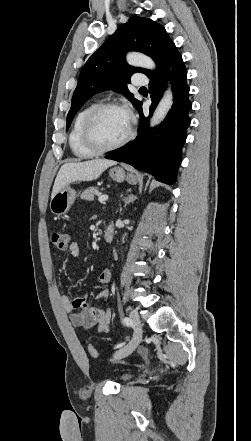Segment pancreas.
Instances as JSON below:
<instances>
[{
    "instance_id": "1",
    "label": "pancreas",
    "mask_w": 251,
    "mask_h": 441,
    "mask_svg": "<svg viewBox=\"0 0 251 441\" xmlns=\"http://www.w3.org/2000/svg\"><path fill=\"white\" fill-rule=\"evenodd\" d=\"M98 194H99L98 187H89L85 191L82 192L80 197H81V199H84V200L93 201L95 195H98Z\"/></svg>"
}]
</instances>
